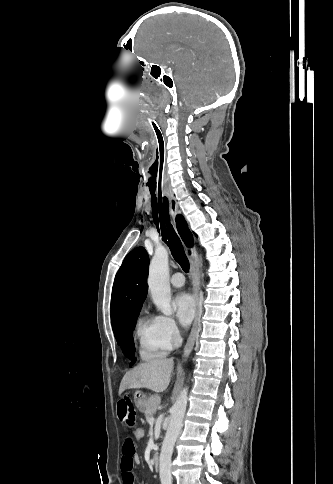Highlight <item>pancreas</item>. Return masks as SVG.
I'll return each mask as SVG.
<instances>
[{
    "mask_svg": "<svg viewBox=\"0 0 333 484\" xmlns=\"http://www.w3.org/2000/svg\"><path fill=\"white\" fill-rule=\"evenodd\" d=\"M161 399L159 396H150L147 400V404L144 410L146 421L153 417L156 413L157 407L160 405Z\"/></svg>",
    "mask_w": 333,
    "mask_h": 484,
    "instance_id": "obj_1",
    "label": "pancreas"
}]
</instances>
